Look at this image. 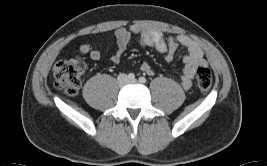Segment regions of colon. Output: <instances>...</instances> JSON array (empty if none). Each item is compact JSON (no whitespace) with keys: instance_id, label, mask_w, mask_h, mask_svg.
Instances as JSON below:
<instances>
[{"instance_id":"5ec220e1","label":"colon","mask_w":267,"mask_h":166,"mask_svg":"<svg viewBox=\"0 0 267 166\" xmlns=\"http://www.w3.org/2000/svg\"><path fill=\"white\" fill-rule=\"evenodd\" d=\"M85 69L86 63L78 57L57 63L53 70L54 87L69 96L76 95ZM212 82L210 71L207 68H200L197 73L200 91L207 93L212 87Z\"/></svg>"}]
</instances>
